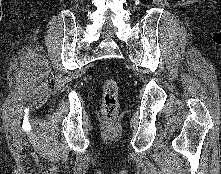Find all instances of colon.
I'll list each match as a JSON object with an SVG mask.
<instances>
[{
  "label": "colon",
  "mask_w": 221,
  "mask_h": 174,
  "mask_svg": "<svg viewBox=\"0 0 221 174\" xmlns=\"http://www.w3.org/2000/svg\"><path fill=\"white\" fill-rule=\"evenodd\" d=\"M119 109V88L115 79L108 78L103 85L102 111L109 122L117 115Z\"/></svg>",
  "instance_id": "1"
}]
</instances>
